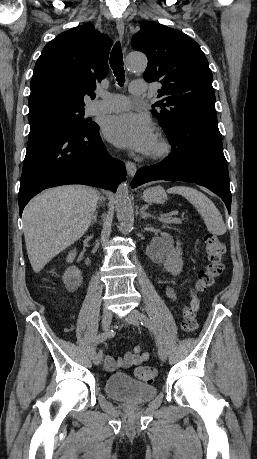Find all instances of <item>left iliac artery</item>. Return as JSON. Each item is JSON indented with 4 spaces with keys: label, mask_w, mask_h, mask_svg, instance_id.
I'll return each mask as SVG.
<instances>
[{
    "label": "left iliac artery",
    "mask_w": 257,
    "mask_h": 459,
    "mask_svg": "<svg viewBox=\"0 0 257 459\" xmlns=\"http://www.w3.org/2000/svg\"><path fill=\"white\" fill-rule=\"evenodd\" d=\"M141 324H142L143 326L147 327L149 330L155 332V331H154V327H153L151 321H150L149 318L146 317L145 315H142ZM155 334H156V333H155ZM155 340H156V343H157L158 346L162 345V342H161L160 338H159L157 335H155Z\"/></svg>",
    "instance_id": "44dca946"
}]
</instances>
